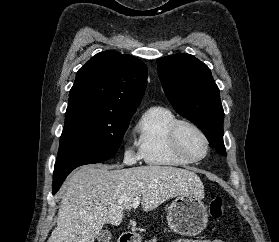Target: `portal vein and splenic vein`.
I'll return each instance as SVG.
<instances>
[{"label":"portal vein and splenic vein","mask_w":279,"mask_h":242,"mask_svg":"<svg viewBox=\"0 0 279 242\" xmlns=\"http://www.w3.org/2000/svg\"><path fill=\"white\" fill-rule=\"evenodd\" d=\"M140 200H141L140 197L134 198L133 202L131 204V207L134 208V209L137 208L139 206V204H140Z\"/></svg>","instance_id":"portal-vein-and-splenic-vein-1"}]
</instances>
